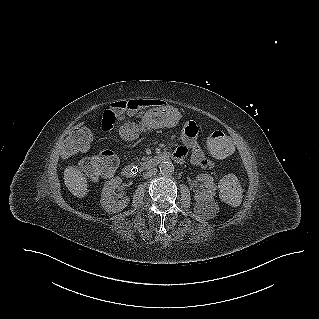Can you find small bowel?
I'll return each mask as SVG.
<instances>
[{
    "label": "small bowel",
    "mask_w": 319,
    "mask_h": 319,
    "mask_svg": "<svg viewBox=\"0 0 319 319\" xmlns=\"http://www.w3.org/2000/svg\"><path fill=\"white\" fill-rule=\"evenodd\" d=\"M157 100H130L113 99L95 112L88 119V128L93 133L110 134L115 129L116 121H123L142 108L161 105ZM179 130H184L181 136L182 145L174 152V159L182 163L189 157L191 163L203 167H213V164L205 158L204 152L198 144L197 135L200 125L196 121H179Z\"/></svg>",
    "instance_id": "obj_1"
}]
</instances>
